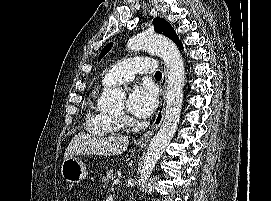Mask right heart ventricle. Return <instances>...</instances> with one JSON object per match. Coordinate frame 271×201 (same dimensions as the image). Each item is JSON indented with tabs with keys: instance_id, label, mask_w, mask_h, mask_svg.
I'll return each instance as SVG.
<instances>
[{
	"instance_id": "1",
	"label": "right heart ventricle",
	"mask_w": 271,
	"mask_h": 201,
	"mask_svg": "<svg viewBox=\"0 0 271 201\" xmlns=\"http://www.w3.org/2000/svg\"><path fill=\"white\" fill-rule=\"evenodd\" d=\"M86 129L92 134L105 136L121 132L123 125L117 117L96 108L94 106V97H92L88 101Z\"/></svg>"
}]
</instances>
